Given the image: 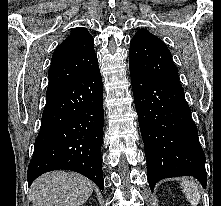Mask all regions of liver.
I'll use <instances>...</instances> for the list:
<instances>
[{"instance_id":"1","label":"liver","mask_w":221,"mask_h":206,"mask_svg":"<svg viewBox=\"0 0 221 206\" xmlns=\"http://www.w3.org/2000/svg\"><path fill=\"white\" fill-rule=\"evenodd\" d=\"M93 187L90 180L77 173H48L32 185L33 206H80L91 196Z\"/></svg>"}]
</instances>
